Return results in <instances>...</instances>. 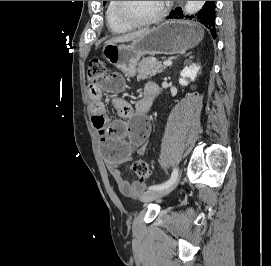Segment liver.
Returning a JSON list of instances; mask_svg holds the SVG:
<instances>
[{
	"mask_svg": "<svg viewBox=\"0 0 271 266\" xmlns=\"http://www.w3.org/2000/svg\"><path fill=\"white\" fill-rule=\"evenodd\" d=\"M149 31V28H143L140 29L136 32H132V33H128L125 35H121V36H117L114 38H111L110 40H108L106 42V44H115V43H120V42H128V41H133L135 39H137L138 37L142 36L143 34H145L146 32Z\"/></svg>",
	"mask_w": 271,
	"mask_h": 266,
	"instance_id": "liver-1",
	"label": "liver"
}]
</instances>
